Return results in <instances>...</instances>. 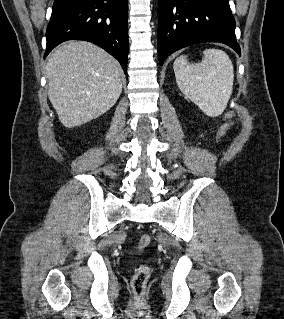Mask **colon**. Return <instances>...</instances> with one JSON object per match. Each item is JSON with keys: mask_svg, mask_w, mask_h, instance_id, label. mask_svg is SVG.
Segmentation results:
<instances>
[{"mask_svg": "<svg viewBox=\"0 0 284 319\" xmlns=\"http://www.w3.org/2000/svg\"><path fill=\"white\" fill-rule=\"evenodd\" d=\"M234 112H228L224 115L222 124L218 129V138L223 139L227 134L229 128L232 126L235 119ZM151 243V237L148 234H142L138 241V248L145 249ZM150 275L149 268L145 265L140 266L135 272L132 279L133 292L140 296L144 293L146 284Z\"/></svg>", "mask_w": 284, "mask_h": 319, "instance_id": "1", "label": "colon"}]
</instances>
